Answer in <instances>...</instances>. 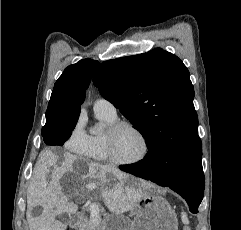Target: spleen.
Listing matches in <instances>:
<instances>
[{
    "mask_svg": "<svg viewBox=\"0 0 241 230\" xmlns=\"http://www.w3.org/2000/svg\"><path fill=\"white\" fill-rule=\"evenodd\" d=\"M181 219H182V222L184 223V230H190L188 224H189V220H188V217H187V214L185 212H182L181 214Z\"/></svg>",
    "mask_w": 241,
    "mask_h": 230,
    "instance_id": "spleen-1",
    "label": "spleen"
}]
</instances>
